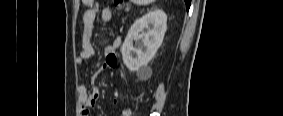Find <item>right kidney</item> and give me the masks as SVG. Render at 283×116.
I'll use <instances>...</instances> for the list:
<instances>
[{"instance_id": "obj_1", "label": "right kidney", "mask_w": 283, "mask_h": 116, "mask_svg": "<svg viewBox=\"0 0 283 116\" xmlns=\"http://www.w3.org/2000/svg\"><path fill=\"white\" fill-rule=\"evenodd\" d=\"M166 29L167 16L162 10L150 11L134 22L121 48L123 62L131 72L146 67L152 60Z\"/></svg>"}]
</instances>
